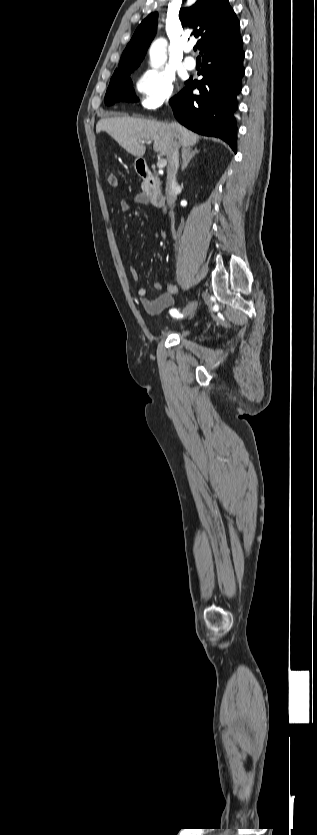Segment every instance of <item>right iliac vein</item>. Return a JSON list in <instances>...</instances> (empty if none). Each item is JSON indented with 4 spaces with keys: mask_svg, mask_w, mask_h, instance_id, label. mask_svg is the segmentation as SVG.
I'll list each match as a JSON object with an SVG mask.
<instances>
[{
    "mask_svg": "<svg viewBox=\"0 0 317 835\" xmlns=\"http://www.w3.org/2000/svg\"><path fill=\"white\" fill-rule=\"evenodd\" d=\"M191 304H195V307H191ZM191 304L187 305V306L183 309V311H182V314H183L185 317H188V316L192 315V314H193V312H194V311L196 310V308H197V302H196V301L192 302Z\"/></svg>",
    "mask_w": 317,
    "mask_h": 835,
    "instance_id": "obj_1",
    "label": "right iliac vein"
}]
</instances>
